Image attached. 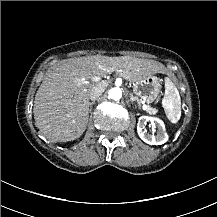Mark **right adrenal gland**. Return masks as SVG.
<instances>
[{"mask_svg":"<svg viewBox=\"0 0 217 217\" xmlns=\"http://www.w3.org/2000/svg\"><path fill=\"white\" fill-rule=\"evenodd\" d=\"M95 104V101H92L89 103V106H90V110L92 109V106Z\"/></svg>","mask_w":217,"mask_h":217,"instance_id":"1","label":"right adrenal gland"}]
</instances>
